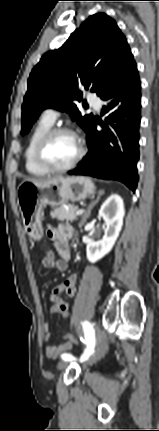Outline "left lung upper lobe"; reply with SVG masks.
I'll list each match as a JSON object with an SVG mask.
<instances>
[{"mask_svg": "<svg viewBox=\"0 0 159 431\" xmlns=\"http://www.w3.org/2000/svg\"><path fill=\"white\" fill-rule=\"evenodd\" d=\"M134 61L125 36L104 13L90 16L59 49L45 53L28 79L22 105V130L29 132L46 108L66 111L86 132L93 115L76 107L79 85L101 97Z\"/></svg>", "mask_w": 159, "mask_h": 431, "instance_id": "obj_1", "label": "left lung upper lobe"}]
</instances>
